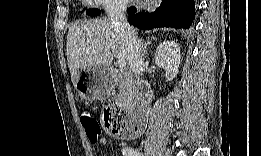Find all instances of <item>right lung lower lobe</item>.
<instances>
[{
  "label": "right lung lower lobe",
  "instance_id": "1",
  "mask_svg": "<svg viewBox=\"0 0 261 156\" xmlns=\"http://www.w3.org/2000/svg\"><path fill=\"white\" fill-rule=\"evenodd\" d=\"M127 11L129 22L143 30L157 27L188 29L195 16V2L194 0H162L153 13L144 11L136 13V8L133 6Z\"/></svg>",
  "mask_w": 261,
  "mask_h": 156
}]
</instances>
